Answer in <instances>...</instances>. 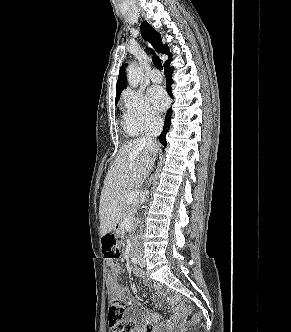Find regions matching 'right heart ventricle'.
Masks as SVG:
<instances>
[{
    "instance_id": "1",
    "label": "right heart ventricle",
    "mask_w": 291,
    "mask_h": 332,
    "mask_svg": "<svg viewBox=\"0 0 291 332\" xmlns=\"http://www.w3.org/2000/svg\"><path fill=\"white\" fill-rule=\"evenodd\" d=\"M125 129H126L127 133L130 134V135H135V134H137L135 131H133L132 129H130V128L127 127V126H125Z\"/></svg>"
}]
</instances>
